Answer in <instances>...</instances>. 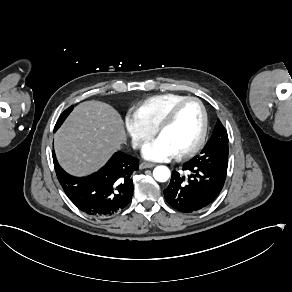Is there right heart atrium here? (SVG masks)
Masks as SVG:
<instances>
[{
    "mask_svg": "<svg viewBox=\"0 0 292 292\" xmlns=\"http://www.w3.org/2000/svg\"><path fill=\"white\" fill-rule=\"evenodd\" d=\"M124 128L131 138L134 146H143L153 133V129L146 126L133 112H127L123 116Z\"/></svg>",
    "mask_w": 292,
    "mask_h": 292,
    "instance_id": "1",
    "label": "right heart atrium"
}]
</instances>
